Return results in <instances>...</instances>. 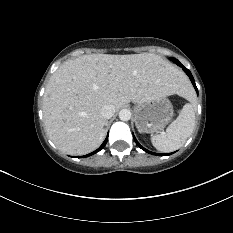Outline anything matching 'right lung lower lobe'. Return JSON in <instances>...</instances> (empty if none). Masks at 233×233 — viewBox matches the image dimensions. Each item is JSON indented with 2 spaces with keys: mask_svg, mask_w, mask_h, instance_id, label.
<instances>
[{
  "mask_svg": "<svg viewBox=\"0 0 233 233\" xmlns=\"http://www.w3.org/2000/svg\"><path fill=\"white\" fill-rule=\"evenodd\" d=\"M107 140H108V139L106 138L105 141L103 142V144H102L97 150H95L94 152H92V153H90V154H87V155H85V156H83V157L91 156V155H93V154L99 152L100 150H102V149L104 148V146H105Z\"/></svg>",
  "mask_w": 233,
  "mask_h": 233,
  "instance_id": "98d812e1",
  "label": "right lung lower lobe"
}]
</instances>
